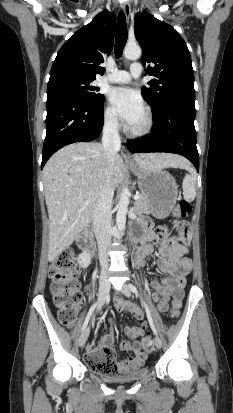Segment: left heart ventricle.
Instances as JSON below:
<instances>
[{
  "label": "left heart ventricle",
  "mask_w": 233,
  "mask_h": 413,
  "mask_svg": "<svg viewBox=\"0 0 233 413\" xmlns=\"http://www.w3.org/2000/svg\"><path fill=\"white\" fill-rule=\"evenodd\" d=\"M143 121H144V114H143L142 117H141L136 123H134L131 127H135V128L140 127V126L143 124Z\"/></svg>",
  "instance_id": "left-heart-ventricle-1"
}]
</instances>
